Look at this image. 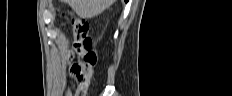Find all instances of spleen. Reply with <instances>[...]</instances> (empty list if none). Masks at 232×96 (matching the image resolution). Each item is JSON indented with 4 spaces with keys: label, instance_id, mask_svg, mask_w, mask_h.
Returning <instances> with one entry per match:
<instances>
[{
    "label": "spleen",
    "instance_id": "1",
    "mask_svg": "<svg viewBox=\"0 0 232 96\" xmlns=\"http://www.w3.org/2000/svg\"><path fill=\"white\" fill-rule=\"evenodd\" d=\"M66 3L83 18L89 19L101 14L113 4V0H66Z\"/></svg>",
    "mask_w": 232,
    "mask_h": 96
}]
</instances>
